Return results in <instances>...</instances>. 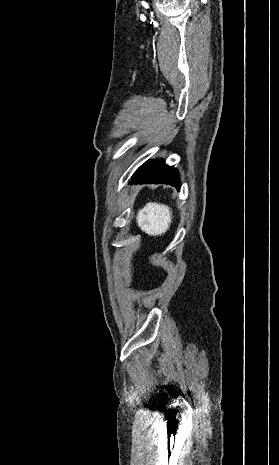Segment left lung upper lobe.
<instances>
[{"label":"left lung upper lobe","instance_id":"1","mask_svg":"<svg viewBox=\"0 0 279 465\" xmlns=\"http://www.w3.org/2000/svg\"><path fill=\"white\" fill-rule=\"evenodd\" d=\"M146 163H147V162H146ZM146 163H145V164H146ZM145 164H143L141 167H139L138 170H137L135 173H137ZM135 173H134V174H135Z\"/></svg>","mask_w":279,"mask_h":465}]
</instances>
